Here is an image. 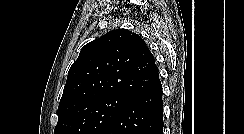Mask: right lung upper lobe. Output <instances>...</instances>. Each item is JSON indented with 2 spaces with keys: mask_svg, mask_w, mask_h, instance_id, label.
Returning a JSON list of instances; mask_svg holds the SVG:
<instances>
[{
  "mask_svg": "<svg viewBox=\"0 0 244 134\" xmlns=\"http://www.w3.org/2000/svg\"><path fill=\"white\" fill-rule=\"evenodd\" d=\"M161 83L154 56L136 33L117 29L86 44L69 69L58 119L108 97L132 96Z\"/></svg>",
  "mask_w": 244,
  "mask_h": 134,
  "instance_id": "right-lung-upper-lobe-1",
  "label": "right lung upper lobe"
}]
</instances>
